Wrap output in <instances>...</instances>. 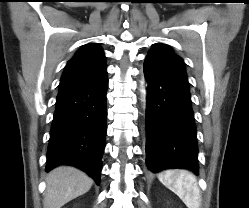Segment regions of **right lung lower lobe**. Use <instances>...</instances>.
Returning <instances> with one entry per match:
<instances>
[{
	"instance_id": "98d812e1",
	"label": "right lung lower lobe",
	"mask_w": 249,
	"mask_h": 208,
	"mask_svg": "<svg viewBox=\"0 0 249 208\" xmlns=\"http://www.w3.org/2000/svg\"><path fill=\"white\" fill-rule=\"evenodd\" d=\"M107 73L98 79L59 91L50 131L46 171L73 165L100 183L105 148Z\"/></svg>"
}]
</instances>
